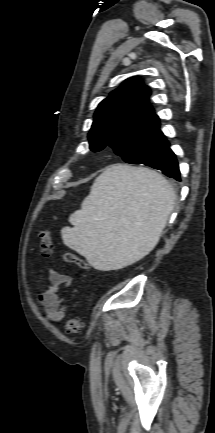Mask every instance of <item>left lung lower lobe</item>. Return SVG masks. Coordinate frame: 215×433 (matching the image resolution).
Segmentation results:
<instances>
[{"instance_id":"left-lung-lower-lobe-1","label":"left lung lower lobe","mask_w":215,"mask_h":433,"mask_svg":"<svg viewBox=\"0 0 215 433\" xmlns=\"http://www.w3.org/2000/svg\"><path fill=\"white\" fill-rule=\"evenodd\" d=\"M170 178L180 181V171L175 154L170 149V144L166 141L159 165L155 168Z\"/></svg>"}]
</instances>
